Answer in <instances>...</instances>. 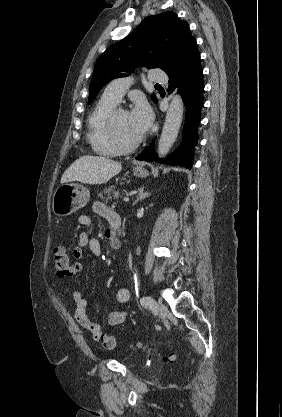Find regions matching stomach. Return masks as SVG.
Returning a JSON list of instances; mask_svg holds the SVG:
<instances>
[{
  "instance_id": "1",
  "label": "stomach",
  "mask_w": 282,
  "mask_h": 417,
  "mask_svg": "<svg viewBox=\"0 0 282 417\" xmlns=\"http://www.w3.org/2000/svg\"><path fill=\"white\" fill-rule=\"evenodd\" d=\"M136 164L133 168L135 176H148V170L143 168V164ZM90 200V192L83 184L77 182H64L56 188L53 194L52 209L58 217L72 215L78 209H82Z\"/></svg>"
}]
</instances>
